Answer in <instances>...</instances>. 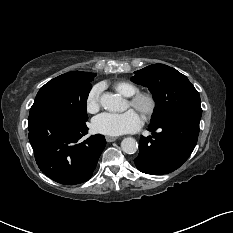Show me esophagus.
<instances>
[{
	"mask_svg": "<svg viewBox=\"0 0 233 233\" xmlns=\"http://www.w3.org/2000/svg\"><path fill=\"white\" fill-rule=\"evenodd\" d=\"M116 140H117V137L106 136V141L107 142H114Z\"/></svg>",
	"mask_w": 233,
	"mask_h": 233,
	"instance_id": "obj_1",
	"label": "esophagus"
}]
</instances>
